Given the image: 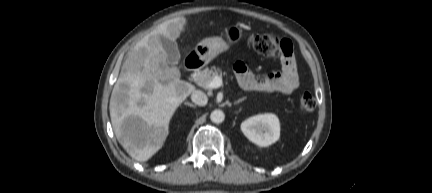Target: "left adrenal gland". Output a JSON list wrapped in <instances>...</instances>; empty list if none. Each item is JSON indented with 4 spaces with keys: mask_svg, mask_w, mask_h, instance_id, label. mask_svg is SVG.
<instances>
[{
    "mask_svg": "<svg viewBox=\"0 0 432 193\" xmlns=\"http://www.w3.org/2000/svg\"><path fill=\"white\" fill-rule=\"evenodd\" d=\"M244 100H245V97H244V98H241V99H239V100H237L236 102H234V105L239 104L240 102H242V101H244Z\"/></svg>",
    "mask_w": 432,
    "mask_h": 193,
    "instance_id": "left-adrenal-gland-1",
    "label": "left adrenal gland"
}]
</instances>
